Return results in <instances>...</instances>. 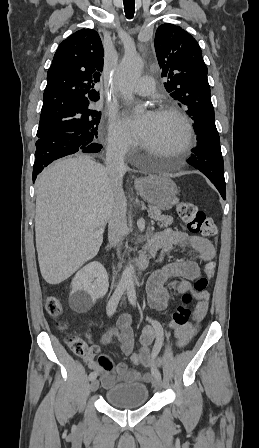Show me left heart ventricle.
Instances as JSON below:
<instances>
[{
	"mask_svg": "<svg viewBox=\"0 0 259 448\" xmlns=\"http://www.w3.org/2000/svg\"><path fill=\"white\" fill-rule=\"evenodd\" d=\"M183 128L173 115H155L153 121L139 136L140 144L149 150L162 155H170L168 149L181 138Z\"/></svg>",
	"mask_w": 259,
	"mask_h": 448,
	"instance_id": "obj_1",
	"label": "left heart ventricle"
}]
</instances>
